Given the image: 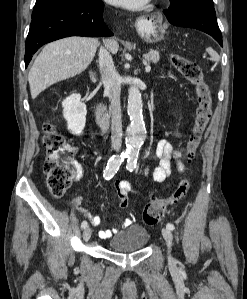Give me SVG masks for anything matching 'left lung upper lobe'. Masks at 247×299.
Wrapping results in <instances>:
<instances>
[{"label": "left lung upper lobe", "instance_id": "1", "mask_svg": "<svg viewBox=\"0 0 247 299\" xmlns=\"http://www.w3.org/2000/svg\"><path fill=\"white\" fill-rule=\"evenodd\" d=\"M184 1H187V0H170V7L169 8L173 9L178 4H180V3L184 2ZM196 1H199V2L204 3L206 5H209V6H214L212 0H196Z\"/></svg>", "mask_w": 247, "mask_h": 299}]
</instances>
